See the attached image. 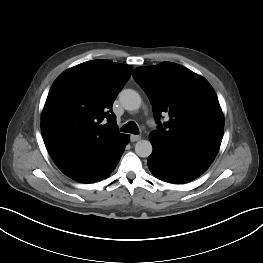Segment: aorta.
I'll return each mask as SVG.
<instances>
[{"mask_svg": "<svg viewBox=\"0 0 263 263\" xmlns=\"http://www.w3.org/2000/svg\"><path fill=\"white\" fill-rule=\"evenodd\" d=\"M119 100L122 106L129 111L138 110L141 105L140 95L132 89L122 90L119 94ZM152 150V144L148 140H140L135 145V152L139 157H149Z\"/></svg>", "mask_w": 263, "mask_h": 263, "instance_id": "1", "label": "aorta"}]
</instances>
